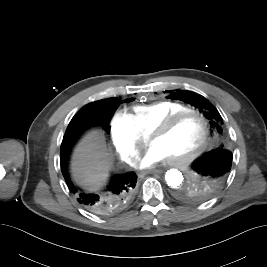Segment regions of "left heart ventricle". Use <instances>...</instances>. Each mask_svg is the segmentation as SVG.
<instances>
[{
    "label": "left heart ventricle",
    "instance_id": "1",
    "mask_svg": "<svg viewBox=\"0 0 267 267\" xmlns=\"http://www.w3.org/2000/svg\"><path fill=\"white\" fill-rule=\"evenodd\" d=\"M203 136L201 120L189 115L179 121L166 134L151 138L152 146L159 147L168 159L184 157L195 150Z\"/></svg>",
    "mask_w": 267,
    "mask_h": 267
}]
</instances>
